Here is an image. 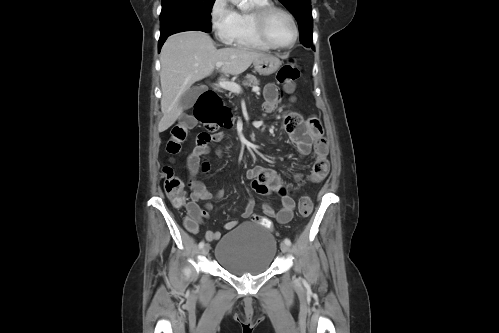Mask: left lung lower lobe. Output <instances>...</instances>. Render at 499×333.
<instances>
[{"label": "left lung lower lobe", "mask_w": 499, "mask_h": 333, "mask_svg": "<svg viewBox=\"0 0 499 333\" xmlns=\"http://www.w3.org/2000/svg\"><path fill=\"white\" fill-rule=\"evenodd\" d=\"M303 45L306 46V47L312 46V44H308V43H303ZM312 48L314 49L313 46H312Z\"/></svg>", "instance_id": "1"}]
</instances>
